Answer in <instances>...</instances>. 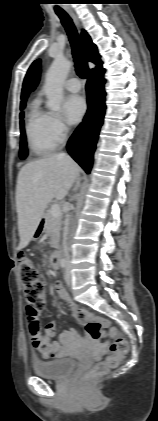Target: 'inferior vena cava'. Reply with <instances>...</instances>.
<instances>
[{
  "mask_svg": "<svg viewBox=\"0 0 158 421\" xmlns=\"http://www.w3.org/2000/svg\"><path fill=\"white\" fill-rule=\"evenodd\" d=\"M61 155H65V154H61ZM80 186V181L77 180L75 189H77ZM69 215L67 214L65 216V221H64V229H63V241H64V252H65V257H66V263L69 264L70 262V256H69V248L67 246V235H68V226H69Z\"/></svg>",
  "mask_w": 158,
  "mask_h": 421,
  "instance_id": "inferior-vena-cava-1",
  "label": "inferior vena cava"
}]
</instances>
